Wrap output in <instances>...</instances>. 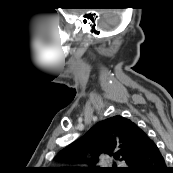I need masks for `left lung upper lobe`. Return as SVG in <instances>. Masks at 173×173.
<instances>
[{"mask_svg": "<svg viewBox=\"0 0 173 173\" xmlns=\"http://www.w3.org/2000/svg\"><path fill=\"white\" fill-rule=\"evenodd\" d=\"M145 132L136 123L122 116H114L95 124L83 137L59 153V157L70 163H86L89 167H64L56 170L64 173H124L132 160L144 147ZM90 153L91 157L85 155ZM104 154L124 160L127 168L96 167Z\"/></svg>", "mask_w": 173, "mask_h": 173, "instance_id": "5c2ea615", "label": "left lung upper lobe"}]
</instances>
